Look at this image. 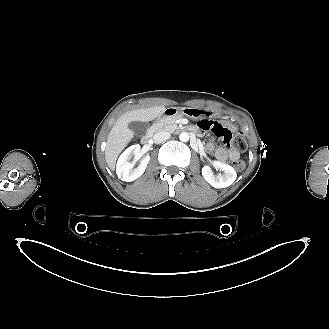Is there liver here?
<instances>
[{"mask_svg": "<svg viewBox=\"0 0 329 329\" xmlns=\"http://www.w3.org/2000/svg\"><path fill=\"white\" fill-rule=\"evenodd\" d=\"M165 110L163 105L135 109L122 114L117 119L108 134L105 148V160L112 171L115 170L119 154L134 137V133L128 128V124L132 121H152L161 116Z\"/></svg>", "mask_w": 329, "mask_h": 329, "instance_id": "liver-1", "label": "liver"}]
</instances>
